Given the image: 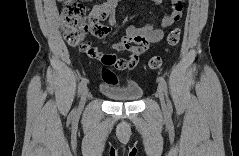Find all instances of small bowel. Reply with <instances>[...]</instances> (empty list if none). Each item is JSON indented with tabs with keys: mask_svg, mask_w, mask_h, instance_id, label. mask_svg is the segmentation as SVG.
<instances>
[{
	"mask_svg": "<svg viewBox=\"0 0 239 156\" xmlns=\"http://www.w3.org/2000/svg\"><path fill=\"white\" fill-rule=\"evenodd\" d=\"M160 3V0H156ZM119 0H106L96 4L90 14L91 32L101 39H107L111 30L99 23V19H104L110 26L116 24V10ZM183 13V3L180 0L171 1V12L161 20V27L155 28L152 25L135 26L126 28L125 35L118 43H108L110 47L117 51H125L128 56L117 58L114 54L98 52L94 48L93 53H86L92 58L99 59L106 66H114L118 70H131L139 61L140 56L147 51L151 44L161 41L164 37V29L172 26L178 21Z\"/></svg>",
	"mask_w": 239,
	"mask_h": 156,
	"instance_id": "obj_1",
	"label": "small bowel"
}]
</instances>
